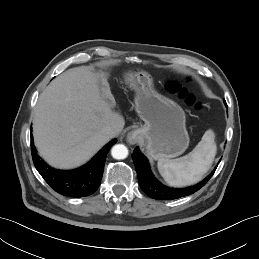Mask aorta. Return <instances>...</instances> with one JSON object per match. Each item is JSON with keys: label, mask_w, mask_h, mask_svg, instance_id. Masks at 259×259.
<instances>
[{"label": "aorta", "mask_w": 259, "mask_h": 259, "mask_svg": "<svg viewBox=\"0 0 259 259\" xmlns=\"http://www.w3.org/2000/svg\"><path fill=\"white\" fill-rule=\"evenodd\" d=\"M111 155L114 159H125L128 156V149L123 144H117L113 146L111 150Z\"/></svg>", "instance_id": "aorta-1"}]
</instances>
